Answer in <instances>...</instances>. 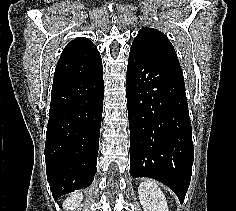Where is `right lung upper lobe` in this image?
Instances as JSON below:
<instances>
[{"instance_id":"obj_1","label":"right lung upper lobe","mask_w":236,"mask_h":211,"mask_svg":"<svg viewBox=\"0 0 236 211\" xmlns=\"http://www.w3.org/2000/svg\"><path fill=\"white\" fill-rule=\"evenodd\" d=\"M102 68L97 47L89 39L78 37L64 48L55 69L53 85L90 76Z\"/></svg>"}]
</instances>
